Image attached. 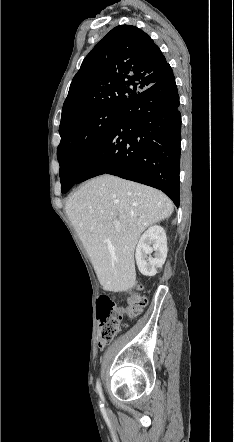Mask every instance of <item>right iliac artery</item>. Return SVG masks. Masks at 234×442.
I'll list each match as a JSON object with an SVG mask.
<instances>
[{
	"instance_id": "1",
	"label": "right iliac artery",
	"mask_w": 234,
	"mask_h": 442,
	"mask_svg": "<svg viewBox=\"0 0 234 442\" xmlns=\"http://www.w3.org/2000/svg\"><path fill=\"white\" fill-rule=\"evenodd\" d=\"M96 390H97V393H98L100 396H102V388H101V385H100L99 380L97 381V384H96Z\"/></svg>"
}]
</instances>
